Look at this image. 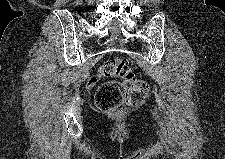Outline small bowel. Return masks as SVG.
Instances as JSON below:
<instances>
[{
  "label": "small bowel",
  "mask_w": 225,
  "mask_h": 159,
  "mask_svg": "<svg viewBox=\"0 0 225 159\" xmlns=\"http://www.w3.org/2000/svg\"><path fill=\"white\" fill-rule=\"evenodd\" d=\"M96 83V79H94V78H92V79H90L89 81H88V87L90 88V87H92V86H94V84Z\"/></svg>",
  "instance_id": "c3829d8e"
}]
</instances>
